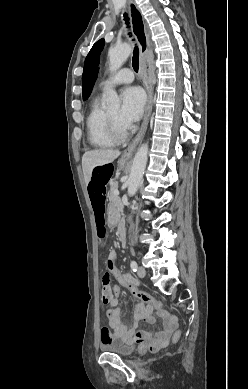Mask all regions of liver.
I'll return each instance as SVG.
<instances>
[{
	"mask_svg": "<svg viewBox=\"0 0 248 389\" xmlns=\"http://www.w3.org/2000/svg\"><path fill=\"white\" fill-rule=\"evenodd\" d=\"M119 155L120 151L113 149H97L85 152L82 157V169L86 184L90 182L95 167L112 163Z\"/></svg>",
	"mask_w": 248,
	"mask_h": 389,
	"instance_id": "1",
	"label": "liver"
}]
</instances>
